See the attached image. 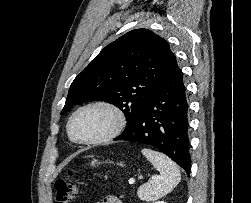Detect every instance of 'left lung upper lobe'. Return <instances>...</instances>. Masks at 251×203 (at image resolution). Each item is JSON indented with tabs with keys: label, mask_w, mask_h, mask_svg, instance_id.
<instances>
[{
	"label": "left lung upper lobe",
	"mask_w": 251,
	"mask_h": 203,
	"mask_svg": "<svg viewBox=\"0 0 251 203\" xmlns=\"http://www.w3.org/2000/svg\"><path fill=\"white\" fill-rule=\"evenodd\" d=\"M174 54L152 31L132 30L107 45L74 79L61 114L74 105L105 101L122 110L130 128Z\"/></svg>",
	"instance_id": "1"
}]
</instances>
